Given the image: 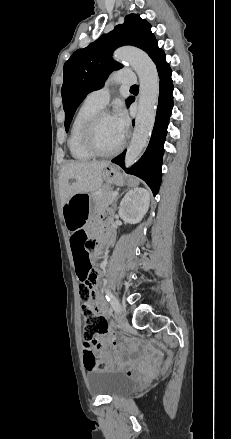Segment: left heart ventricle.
<instances>
[{
  "label": "left heart ventricle",
  "mask_w": 231,
  "mask_h": 439,
  "mask_svg": "<svg viewBox=\"0 0 231 439\" xmlns=\"http://www.w3.org/2000/svg\"><path fill=\"white\" fill-rule=\"evenodd\" d=\"M95 140L98 147L103 151H110L121 143L112 116H105L99 121L95 132Z\"/></svg>",
  "instance_id": "b2bd125f"
}]
</instances>
